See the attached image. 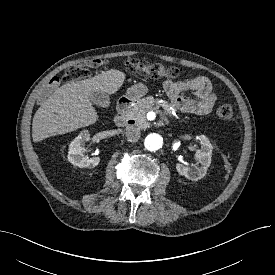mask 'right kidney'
<instances>
[{
	"instance_id": "obj_1",
	"label": "right kidney",
	"mask_w": 275,
	"mask_h": 275,
	"mask_svg": "<svg viewBox=\"0 0 275 275\" xmlns=\"http://www.w3.org/2000/svg\"><path fill=\"white\" fill-rule=\"evenodd\" d=\"M90 134L87 130H83L69 145L68 161L80 168H94L99 162V157H85L84 143L89 141Z\"/></svg>"
}]
</instances>
